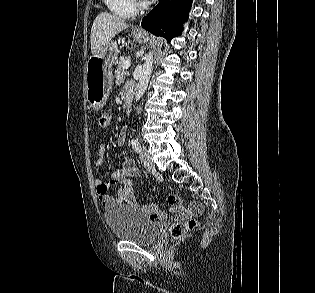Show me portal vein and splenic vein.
<instances>
[{
  "label": "portal vein and splenic vein",
  "instance_id": "obj_1",
  "mask_svg": "<svg viewBox=\"0 0 315 293\" xmlns=\"http://www.w3.org/2000/svg\"><path fill=\"white\" fill-rule=\"evenodd\" d=\"M131 65V60L130 59H127L125 62H124V69H128Z\"/></svg>",
  "mask_w": 315,
  "mask_h": 293
}]
</instances>
